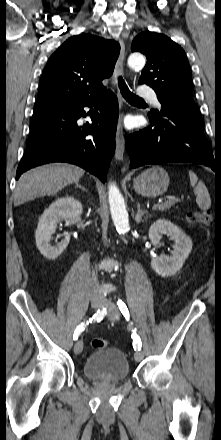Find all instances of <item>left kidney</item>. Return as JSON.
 Returning a JSON list of instances; mask_svg holds the SVG:
<instances>
[{
  "mask_svg": "<svg viewBox=\"0 0 221 440\" xmlns=\"http://www.w3.org/2000/svg\"><path fill=\"white\" fill-rule=\"evenodd\" d=\"M165 234L174 240L171 255L153 256L151 260L152 269L162 277H168L178 272L192 250L191 239L171 221L158 219L149 228V239L156 247L160 244L162 235Z\"/></svg>",
  "mask_w": 221,
  "mask_h": 440,
  "instance_id": "left-kidney-1",
  "label": "left kidney"
}]
</instances>
